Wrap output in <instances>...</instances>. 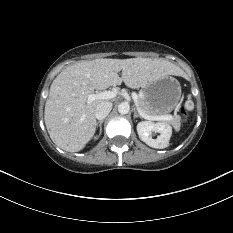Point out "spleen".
I'll return each mask as SVG.
<instances>
[{"mask_svg":"<svg viewBox=\"0 0 233 233\" xmlns=\"http://www.w3.org/2000/svg\"><path fill=\"white\" fill-rule=\"evenodd\" d=\"M185 108L189 111H192L194 109V103L192 100H187L185 103Z\"/></svg>","mask_w":233,"mask_h":233,"instance_id":"1","label":"spleen"}]
</instances>
